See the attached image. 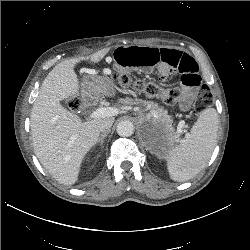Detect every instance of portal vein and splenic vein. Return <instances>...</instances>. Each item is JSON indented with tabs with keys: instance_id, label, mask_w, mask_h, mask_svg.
Instances as JSON below:
<instances>
[{
	"instance_id": "portal-vein-and-splenic-vein-1",
	"label": "portal vein and splenic vein",
	"mask_w": 250,
	"mask_h": 250,
	"mask_svg": "<svg viewBox=\"0 0 250 250\" xmlns=\"http://www.w3.org/2000/svg\"><path fill=\"white\" fill-rule=\"evenodd\" d=\"M119 113V109L116 107H100L96 110L92 111L89 114V118L95 119V118H105V117H111L115 116ZM184 126L183 122H180L178 124L177 132L182 133V127Z\"/></svg>"
}]
</instances>
